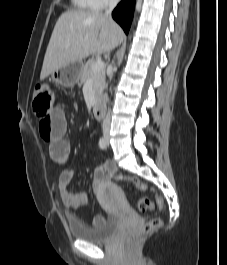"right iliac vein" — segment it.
<instances>
[{
	"label": "right iliac vein",
	"mask_w": 227,
	"mask_h": 265,
	"mask_svg": "<svg viewBox=\"0 0 227 265\" xmlns=\"http://www.w3.org/2000/svg\"><path fill=\"white\" fill-rule=\"evenodd\" d=\"M105 137L108 138V134H105Z\"/></svg>",
	"instance_id": "1"
}]
</instances>
